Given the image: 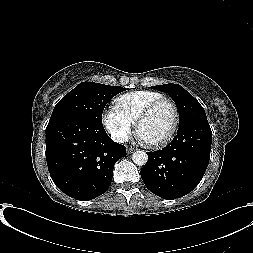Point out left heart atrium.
<instances>
[{
	"mask_svg": "<svg viewBox=\"0 0 253 253\" xmlns=\"http://www.w3.org/2000/svg\"><path fill=\"white\" fill-rule=\"evenodd\" d=\"M138 139H139L141 142L147 143V141L144 139V137H142L140 134H138Z\"/></svg>",
	"mask_w": 253,
	"mask_h": 253,
	"instance_id": "left-heart-atrium-1",
	"label": "left heart atrium"
}]
</instances>
